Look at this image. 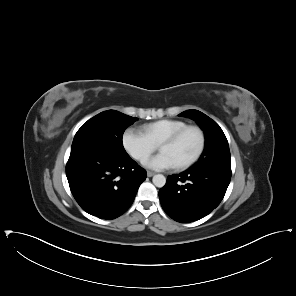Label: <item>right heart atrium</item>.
<instances>
[{
    "instance_id": "d8ad5b80",
    "label": "right heart atrium",
    "mask_w": 296,
    "mask_h": 296,
    "mask_svg": "<svg viewBox=\"0 0 296 296\" xmlns=\"http://www.w3.org/2000/svg\"><path fill=\"white\" fill-rule=\"evenodd\" d=\"M123 144L127 152L133 158L140 161L149 158L158 147L145 133L136 129L126 131L123 138Z\"/></svg>"
}]
</instances>
